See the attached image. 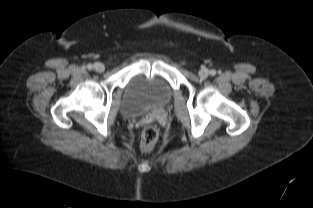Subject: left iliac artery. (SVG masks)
Wrapping results in <instances>:
<instances>
[{
  "mask_svg": "<svg viewBox=\"0 0 313 208\" xmlns=\"http://www.w3.org/2000/svg\"><path fill=\"white\" fill-rule=\"evenodd\" d=\"M210 74H211V75H215V74H216V71H215V70H211V71H210Z\"/></svg>",
  "mask_w": 313,
  "mask_h": 208,
  "instance_id": "44dca946",
  "label": "left iliac artery"
}]
</instances>
